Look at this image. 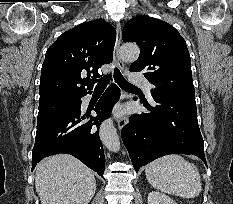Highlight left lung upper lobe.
<instances>
[{
	"label": "left lung upper lobe",
	"instance_id": "obj_1",
	"mask_svg": "<svg viewBox=\"0 0 233 204\" xmlns=\"http://www.w3.org/2000/svg\"><path fill=\"white\" fill-rule=\"evenodd\" d=\"M124 42H136L139 58L130 71H144L155 87L152 96L176 95L195 98L190 55L185 40L170 24L148 16H137L123 28Z\"/></svg>",
	"mask_w": 233,
	"mask_h": 204
}]
</instances>
